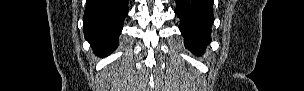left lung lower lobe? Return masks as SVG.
Wrapping results in <instances>:
<instances>
[{
	"mask_svg": "<svg viewBox=\"0 0 304 91\" xmlns=\"http://www.w3.org/2000/svg\"><path fill=\"white\" fill-rule=\"evenodd\" d=\"M175 14L180 18L179 29L185 46L194 54L203 53L211 41L214 21L213 0H175Z\"/></svg>",
	"mask_w": 304,
	"mask_h": 91,
	"instance_id": "obj_1",
	"label": "left lung lower lobe"
}]
</instances>
